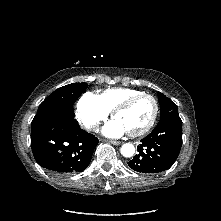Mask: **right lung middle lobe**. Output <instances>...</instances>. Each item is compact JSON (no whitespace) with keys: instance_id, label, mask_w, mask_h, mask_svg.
<instances>
[{"instance_id":"1","label":"right lung middle lobe","mask_w":221,"mask_h":221,"mask_svg":"<svg viewBox=\"0 0 221 221\" xmlns=\"http://www.w3.org/2000/svg\"><path fill=\"white\" fill-rule=\"evenodd\" d=\"M87 87V83H72L54 91L39 105L31 125L54 111L67 108L73 109V103Z\"/></svg>"}]
</instances>
